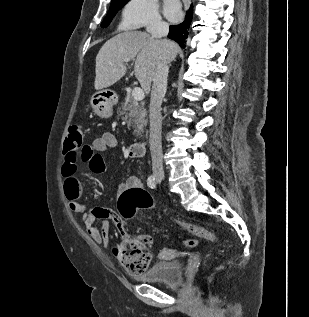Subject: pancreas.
Here are the masks:
<instances>
[{
    "label": "pancreas",
    "instance_id": "cf45deb5",
    "mask_svg": "<svg viewBox=\"0 0 309 317\" xmlns=\"http://www.w3.org/2000/svg\"><path fill=\"white\" fill-rule=\"evenodd\" d=\"M120 115H124L128 126L134 128L136 136L141 135L147 125V111L143 103L134 100L129 93L126 95L125 102L122 105V111L119 110Z\"/></svg>",
    "mask_w": 309,
    "mask_h": 317
}]
</instances>
